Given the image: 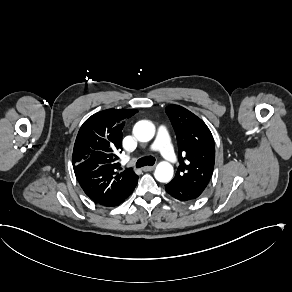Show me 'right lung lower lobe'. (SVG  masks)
<instances>
[{"mask_svg":"<svg viewBox=\"0 0 292 292\" xmlns=\"http://www.w3.org/2000/svg\"><path fill=\"white\" fill-rule=\"evenodd\" d=\"M138 182V181H137ZM137 182L135 184H133L128 191L125 193V195L123 197H121L120 199H118L117 201L109 204V205H103V206H107V207H112V206H117L119 204H121L127 197H129L131 195V193L133 192V190L135 189Z\"/></svg>","mask_w":292,"mask_h":292,"instance_id":"obj_1","label":"right lung lower lobe"}]
</instances>
